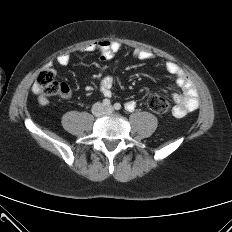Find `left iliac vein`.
Returning a JSON list of instances; mask_svg holds the SVG:
<instances>
[{
	"mask_svg": "<svg viewBox=\"0 0 232 232\" xmlns=\"http://www.w3.org/2000/svg\"><path fill=\"white\" fill-rule=\"evenodd\" d=\"M113 111V107L112 106H108L105 108V112H112Z\"/></svg>",
	"mask_w": 232,
	"mask_h": 232,
	"instance_id": "left-iliac-vein-1",
	"label": "left iliac vein"
}]
</instances>
